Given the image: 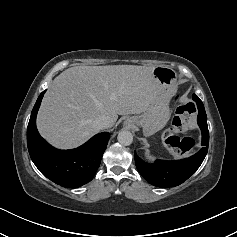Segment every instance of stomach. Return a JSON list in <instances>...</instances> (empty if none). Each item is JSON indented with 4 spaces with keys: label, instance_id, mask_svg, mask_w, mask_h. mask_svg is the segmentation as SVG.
I'll return each instance as SVG.
<instances>
[{
    "label": "stomach",
    "instance_id": "stomach-1",
    "mask_svg": "<svg viewBox=\"0 0 237 237\" xmlns=\"http://www.w3.org/2000/svg\"><path fill=\"white\" fill-rule=\"evenodd\" d=\"M153 77L156 86L153 101L142 114L130 118L143 128L146 136L161 130L170 119L169 100L177 86V74L172 68L155 67Z\"/></svg>",
    "mask_w": 237,
    "mask_h": 237
}]
</instances>
